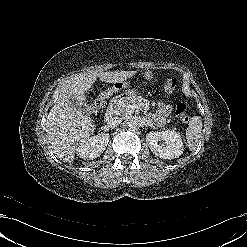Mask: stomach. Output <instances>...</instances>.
<instances>
[{"instance_id":"obj_1","label":"stomach","mask_w":247,"mask_h":247,"mask_svg":"<svg viewBox=\"0 0 247 247\" xmlns=\"http://www.w3.org/2000/svg\"><path fill=\"white\" fill-rule=\"evenodd\" d=\"M120 83V85L119 86H117V87H119V88H126L127 87V83L126 82H119ZM119 88H115L114 90H118ZM132 93L131 92H127V93H125V95L126 96H130Z\"/></svg>"}]
</instances>
